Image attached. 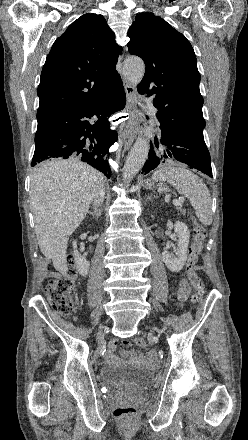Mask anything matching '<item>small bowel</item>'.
Wrapping results in <instances>:
<instances>
[{"label": "small bowel", "mask_w": 248, "mask_h": 440, "mask_svg": "<svg viewBox=\"0 0 248 440\" xmlns=\"http://www.w3.org/2000/svg\"><path fill=\"white\" fill-rule=\"evenodd\" d=\"M189 285L187 283L186 280L182 279L180 280L179 284H178V289H177V295H178V299L181 302V304L187 299L188 295H189ZM118 344V340L116 338H113L110 343H109V347H108V353H107V359L108 361H115L116 357H115V350ZM120 345L122 347H129L131 345V340L129 338H122L120 340ZM132 358L134 359H138L140 361H151L154 362V357L152 354H150L149 356H145L143 354H136V353H131Z\"/></svg>", "instance_id": "c3829d8e"}]
</instances>
